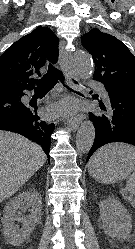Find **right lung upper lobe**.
<instances>
[{
    "label": "right lung upper lobe",
    "mask_w": 135,
    "mask_h": 249,
    "mask_svg": "<svg viewBox=\"0 0 135 249\" xmlns=\"http://www.w3.org/2000/svg\"><path fill=\"white\" fill-rule=\"evenodd\" d=\"M58 43L56 35L42 26L14 42L0 56V92L32 90L30 77L40 75L46 61H57Z\"/></svg>",
    "instance_id": "1"
}]
</instances>
